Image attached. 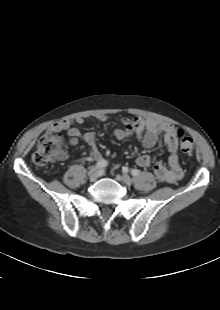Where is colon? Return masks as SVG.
<instances>
[{"instance_id": "1", "label": "colon", "mask_w": 220, "mask_h": 310, "mask_svg": "<svg viewBox=\"0 0 220 310\" xmlns=\"http://www.w3.org/2000/svg\"><path fill=\"white\" fill-rule=\"evenodd\" d=\"M180 150L184 154H192L194 151L193 140L184 135L182 131L178 132ZM64 141L59 131L46 132L38 141L33 153V162L39 166L48 165L57 160L64 152Z\"/></svg>"}]
</instances>
